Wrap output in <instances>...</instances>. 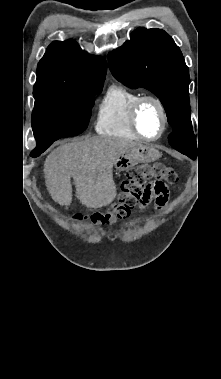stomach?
<instances>
[{
    "label": "stomach",
    "instance_id": "stomach-1",
    "mask_svg": "<svg viewBox=\"0 0 221 379\" xmlns=\"http://www.w3.org/2000/svg\"><path fill=\"white\" fill-rule=\"evenodd\" d=\"M159 151L147 145H137L122 153L115 161V168L123 172L138 163H150L159 158Z\"/></svg>",
    "mask_w": 221,
    "mask_h": 379
}]
</instances>
